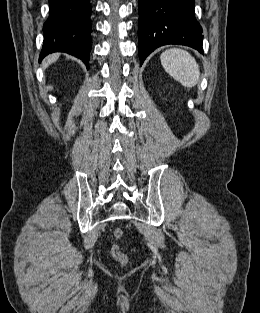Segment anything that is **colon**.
I'll list each match as a JSON object with an SVG mask.
<instances>
[{
    "mask_svg": "<svg viewBox=\"0 0 260 313\" xmlns=\"http://www.w3.org/2000/svg\"><path fill=\"white\" fill-rule=\"evenodd\" d=\"M112 235L115 243L111 247V254L120 264L126 265L128 263L129 257L118 244V242L123 238L122 229L115 228L112 232Z\"/></svg>",
    "mask_w": 260,
    "mask_h": 313,
    "instance_id": "5ec220e1",
    "label": "colon"
}]
</instances>
